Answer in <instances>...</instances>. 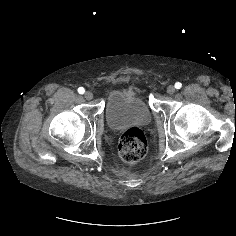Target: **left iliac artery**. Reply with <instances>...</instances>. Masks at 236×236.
<instances>
[{"instance_id":"1","label":"left iliac artery","mask_w":236,"mask_h":236,"mask_svg":"<svg viewBox=\"0 0 236 236\" xmlns=\"http://www.w3.org/2000/svg\"><path fill=\"white\" fill-rule=\"evenodd\" d=\"M182 87V84L180 82L175 83V88L180 89Z\"/></svg>"}]
</instances>
